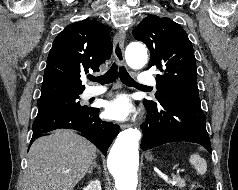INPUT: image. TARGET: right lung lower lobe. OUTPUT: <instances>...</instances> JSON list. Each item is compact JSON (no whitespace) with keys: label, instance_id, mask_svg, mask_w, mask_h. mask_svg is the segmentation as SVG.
I'll list each match as a JSON object with an SVG mask.
<instances>
[{"label":"right lung lower lobe","instance_id":"right-lung-lower-lobe-1","mask_svg":"<svg viewBox=\"0 0 238 190\" xmlns=\"http://www.w3.org/2000/svg\"><path fill=\"white\" fill-rule=\"evenodd\" d=\"M60 128L74 129L82 132L105 156L114 137L119 132L118 125L104 122L99 118L98 108L88 107L36 117L33 123V135L30 143L39 138L43 133Z\"/></svg>","mask_w":238,"mask_h":190}]
</instances>
